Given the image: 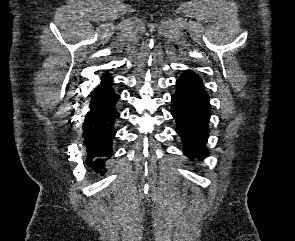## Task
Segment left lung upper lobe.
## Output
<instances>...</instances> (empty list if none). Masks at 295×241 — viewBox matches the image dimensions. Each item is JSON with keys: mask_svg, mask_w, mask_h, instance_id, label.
<instances>
[{"mask_svg": "<svg viewBox=\"0 0 295 241\" xmlns=\"http://www.w3.org/2000/svg\"><path fill=\"white\" fill-rule=\"evenodd\" d=\"M184 75L190 77L192 80L200 83L202 85V79L200 77H198L195 73H193L192 71L190 70H187L184 72Z\"/></svg>", "mask_w": 295, "mask_h": 241, "instance_id": "left-lung-upper-lobe-1", "label": "left lung upper lobe"}]
</instances>
